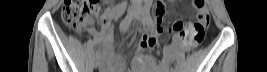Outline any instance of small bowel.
I'll return each mask as SVG.
<instances>
[{
	"mask_svg": "<svg viewBox=\"0 0 267 72\" xmlns=\"http://www.w3.org/2000/svg\"><path fill=\"white\" fill-rule=\"evenodd\" d=\"M124 10H125V5H117L109 13L105 14L103 18H101L98 21L100 32H96V34L98 35V38L101 41V47H102L104 57H107L112 51V44L110 43V36L108 35L110 28H106L107 19L112 16H117L118 14L122 13ZM163 14H164V6L162 4H159L158 9H157L159 24L162 21ZM176 22H180V21H176ZM172 31L176 33V36L174 38L173 43L169 47H167V55L162 59L160 66L157 65L156 61L151 56L141 55L142 52L146 51L149 48L156 46V38L153 36H143L141 38L140 44L138 47V53L135 57V61L146 65V69H148V72H166L171 63L172 53L176 52L181 42H183V38L173 29V27H172ZM115 71H122L121 60L119 61V64L116 67ZM136 71H140V70H136Z\"/></svg>",
	"mask_w": 267,
	"mask_h": 72,
	"instance_id": "obj_1",
	"label": "small bowel"
}]
</instances>
